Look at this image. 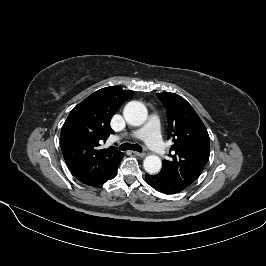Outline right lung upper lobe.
<instances>
[{
  "label": "right lung upper lobe",
  "instance_id": "obj_1",
  "mask_svg": "<svg viewBox=\"0 0 266 266\" xmlns=\"http://www.w3.org/2000/svg\"><path fill=\"white\" fill-rule=\"evenodd\" d=\"M133 94L118 86L102 88L70 112L61 129L60 145L68 167L82 183L91 185L106 178L123 158L116 147L100 146L114 132L111 117Z\"/></svg>",
  "mask_w": 266,
  "mask_h": 266
}]
</instances>
